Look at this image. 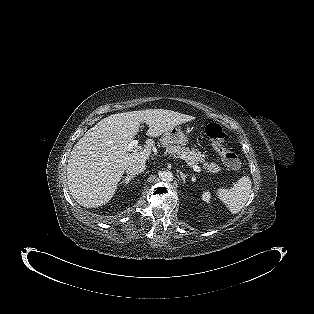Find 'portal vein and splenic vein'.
<instances>
[{"instance_id": "1", "label": "portal vein and splenic vein", "mask_w": 314, "mask_h": 314, "mask_svg": "<svg viewBox=\"0 0 314 314\" xmlns=\"http://www.w3.org/2000/svg\"><path fill=\"white\" fill-rule=\"evenodd\" d=\"M137 145H138V141L132 140L131 142L128 143L127 150L128 151H134L133 149H135L137 147ZM193 169L195 172H199V173L202 172V169L197 165H194Z\"/></svg>"}]
</instances>
